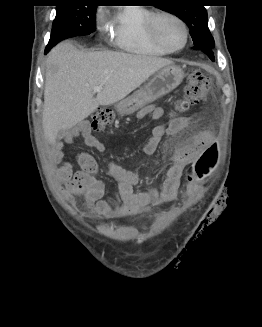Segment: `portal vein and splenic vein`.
Returning <instances> with one entry per match:
<instances>
[{
	"label": "portal vein and splenic vein",
	"instance_id": "1",
	"mask_svg": "<svg viewBox=\"0 0 262 327\" xmlns=\"http://www.w3.org/2000/svg\"><path fill=\"white\" fill-rule=\"evenodd\" d=\"M93 90H94V92H100L102 90V87L101 86H95Z\"/></svg>",
	"mask_w": 262,
	"mask_h": 327
}]
</instances>
